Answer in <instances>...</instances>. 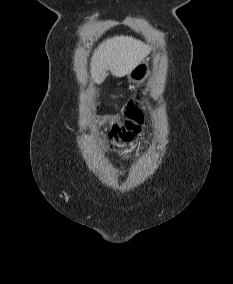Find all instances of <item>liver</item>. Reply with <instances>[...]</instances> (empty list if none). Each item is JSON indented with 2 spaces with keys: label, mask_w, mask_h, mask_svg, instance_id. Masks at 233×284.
Wrapping results in <instances>:
<instances>
[{
  "label": "liver",
  "mask_w": 233,
  "mask_h": 284,
  "mask_svg": "<svg viewBox=\"0 0 233 284\" xmlns=\"http://www.w3.org/2000/svg\"><path fill=\"white\" fill-rule=\"evenodd\" d=\"M151 51L149 45L128 36H116L102 42L91 59L92 79L100 84L108 71L116 77H124Z\"/></svg>",
  "instance_id": "6515ba94"
}]
</instances>
